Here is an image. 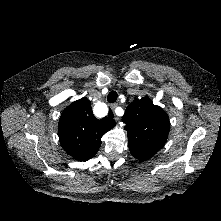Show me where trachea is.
Returning a JSON list of instances; mask_svg holds the SVG:
<instances>
[{
    "instance_id": "1",
    "label": "trachea",
    "mask_w": 221,
    "mask_h": 221,
    "mask_svg": "<svg viewBox=\"0 0 221 221\" xmlns=\"http://www.w3.org/2000/svg\"><path fill=\"white\" fill-rule=\"evenodd\" d=\"M118 98V94L116 91H111L109 94H108V97H107V101L109 103H113V102H116Z\"/></svg>"
}]
</instances>
